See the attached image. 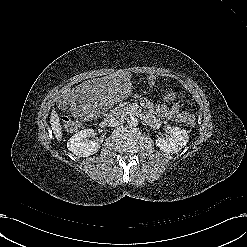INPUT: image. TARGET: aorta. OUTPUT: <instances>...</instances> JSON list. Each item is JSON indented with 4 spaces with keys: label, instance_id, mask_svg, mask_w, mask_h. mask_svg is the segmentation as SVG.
Masks as SVG:
<instances>
[{
    "label": "aorta",
    "instance_id": "obj_1",
    "mask_svg": "<svg viewBox=\"0 0 247 247\" xmlns=\"http://www.w3.org/2000/svg\"><path fill=\"white\" fill-rule=\"evenodd\" d=\"M127 123L131 127H136L139 123L138 118L131 116L128 118Z\"/></svg>",
    "mask_w": 247,
    "mask_h": 247
}]
</instances>
